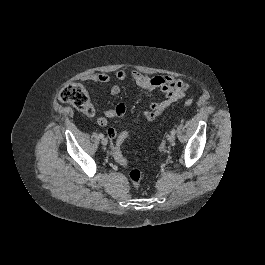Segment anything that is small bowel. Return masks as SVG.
Here are the masks:
<instances>
[{"label": "small bowel", "mask_w": 265, "mask_h": 265, "mask_svg": "<svg viewBox=\"0 0 265 265\" xmlns=\"http://www.w3.org/2000/svg\"><path fill=\"white\" fill-rule=\"evenodd\" d=\"M115 78L120 81L124 82L127 79L126 71L120 69L115 72ZM131 78L134 83L143 89L146 92H152L156 88H160V90L165 95V99L156 102L151 101L149 103L150 110L143 111L141 113V117L148 122L154 121L158 118L162 112L172 105L177 100L183 98L189 89V85L181 78L167 76V75H157V76H148L142 74L139 71H132ZM84 81H91L95 83L101 84H109L111 82V77L105 73H93L85 75L82 78ZM111 95H118L121 92V87L117 84H113L110 86L109 89ZM127 109L123 103H119L113 109H109L105 111L103 114L99 115L98 123L101 126H105L108 123L109 119L112 118H124L126 116ZM117 133L114 128H109Z\"/></svg>", "instance_id": "obj_1"}]
</instances>
